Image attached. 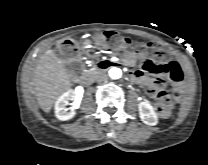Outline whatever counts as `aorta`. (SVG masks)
Masks as SVG:
<instances>
[{"instance_id":"aorta-1","label":"aorta","mask_w":208,"mask_h":165,"mask_svg":"<svg viewBox=\"0 0 208 165\" xmlns=\"http://www.w3.org/2000/svg\"><path fill=\"white\" fill-rule=\"evenodd\" d=\"M109 76L110 78L112 79H119L121 78L122 76V71L121 69L117 68V67H112L110 70H109Z\"/></svg>"}]
</instances>
